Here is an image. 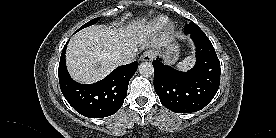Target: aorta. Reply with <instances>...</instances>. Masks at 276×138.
<instances>
[{
  "label": "aorta",
  "instance_id": "762f6f07",
  "mask_svg": "<svg viewBox=\"0 0 276 138\" xmlns=\"http://www.w3.org/2000/svg\"><path fill=\"white\" fill-rule=\"evenodd\" d=\"M139 72L144 77H149L154 73V68L152 63L143 62L139 65Z\"/></svg>",
  "mask_w": 276,
  "mask_h": 138
}]
</instances>
